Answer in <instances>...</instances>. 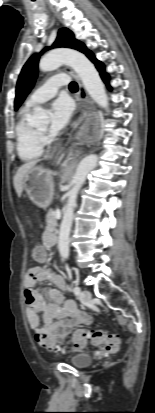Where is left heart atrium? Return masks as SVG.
Instances as JSON below:
<instances>
[{
	"label": "left heart atrium",
	"instance_id": "left-heart-atrium-1",
	"mask_svg": "<svg viewBox=\"0 0 155 413\" xmlns=\"http://www.w3.org/2000/svg\"><path fill=\"white\" fill-rule=\"evenodd\" d=\"M72 114L73 106L67 98L61 97L55 100L51 106L50 133L52 135L60 133L68 125Z\"/></svg>",
	"mask_w": 155,
	"mask_h": 413
}]
</instances>
